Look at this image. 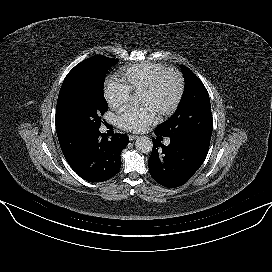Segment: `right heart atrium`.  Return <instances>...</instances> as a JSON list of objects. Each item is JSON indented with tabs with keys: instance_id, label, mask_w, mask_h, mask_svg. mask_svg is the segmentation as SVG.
Masks as SVG:
<instances>
[{
	"instance_id": "1",
	"label": "right heart atrium",
	"mask_w": 272,
	"mask_h": 272,
	"mask_svg": "<svg viewBox=\"0 0 272 272\" xmlns=\"http://www.w3.org/2000/svg\"><path fill=\"white\" fill-rule=\"evenodd\" d=\"M104 97L108 105L119 110L124 108L132 98L131 88L116 77L108 78L104 85Z\"/></svg>"
}]
</instances>
